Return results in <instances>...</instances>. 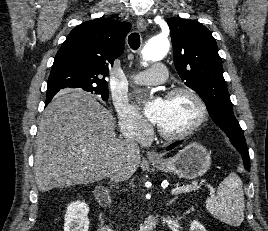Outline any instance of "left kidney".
Instances as JSON below:
<instances>
[{"label":"left kidney","mask_w":268,"mask_h":231,"mask_svg":"<svg viewBox=\"0 0 268 231\" xmlns=\"http://www.w3.org/2000/svg\"><path fill=\"white\" fill-rule=\"evenodd\" d=\"M190 231H207L200 222L194 220L191 222Z\"/></svg>","instance_id":"5707ae66"}]
</instances>
